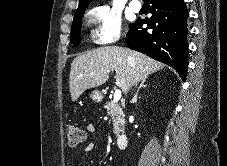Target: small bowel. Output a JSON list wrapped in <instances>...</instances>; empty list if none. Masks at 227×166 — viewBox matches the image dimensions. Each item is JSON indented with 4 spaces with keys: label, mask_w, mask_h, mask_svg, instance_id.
I'll return each mask as SVG.
<instances>
[{
    "label": "small bowel",
    "mask_w": 227,
    "mask_h": 166,
    "mask_svg": "<svg viewBox=\"0 0 227 166\" xmlns=\"http://www.w3.org/2000/svg\"><path fill=\"white\" fill-rule=\"evenodd\" d=\"M96 131V128L93 124H89L87 126V132L88 133H95ZM95 148V145L94 143H89L86 145V147L84 148V153H88V152H91L93 149Z\"/></svg>",
    "instance_id": "c3829d8e"
}]
</instances>
